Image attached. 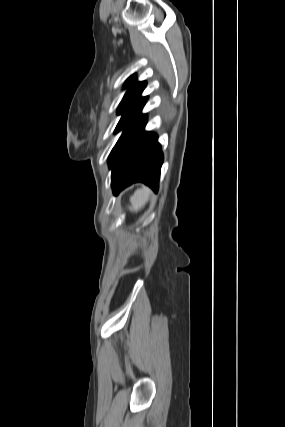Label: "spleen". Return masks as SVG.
Listing matches in <instances>:
<instances>
[{"instance_id": "1", "label": "spleen", "mask_w": 285, "mask_h": 427, "mask_svg": "<svg viewBox=\"0 0 285 427\" xmlns=\"http://www.w3.org/2000/svg\"><path fill=\"white\" fill-rule=\"evenodd\" d=\"M151 195V191L148 188H141L134 192L130 197L131 211L138 212L141 210Z\"/></svg>"}]
</instances>
